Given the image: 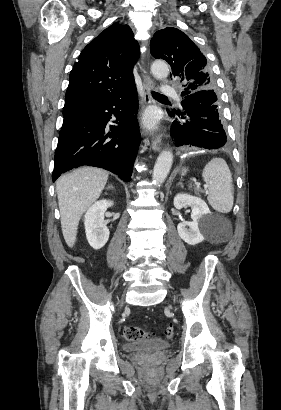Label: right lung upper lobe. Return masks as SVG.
<instances>
[{
	"label": "right lung upper lobe",
	"instance_id": "right-lung-upper-lobe-1",
	"mask_svg": "<svg viewBox=\"0 0 281 410\" xmlns=\"http://www.w3.org/2000/svg\"><path fill=\"white\" fill-rule=\"evenodd\" d=\"M139 45L128 25L114 23L80 53L70 72L63 109L87 108L135 85Z\"/></svg>",
	"mask_w": 281,
	"mask_h": 410
}]
</instances>
